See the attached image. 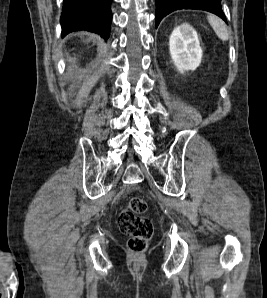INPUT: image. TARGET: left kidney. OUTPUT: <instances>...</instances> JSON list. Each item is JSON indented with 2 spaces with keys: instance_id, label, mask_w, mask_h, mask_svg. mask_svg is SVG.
Returning a JSON list of instances; mask_svg holds the SVG:
<instances>
[{
  "instance_id": "left-kidney-1",
  "label": "left kidney",
  "mask_w": 267,
  "mask_h": 298,
  "mask_svg": "<svg viewBox=\"0 0 267 298\" xmlns=\"http://www.w3.org/2000/svg\"><path fill=\"white\" fill-rule=\"evenodd\" d=\"M172 61L180 73L194 71L201 63L202 49L197 32L188 23L176 27L169 38Z\"/></svg>"
}]
</instances>
